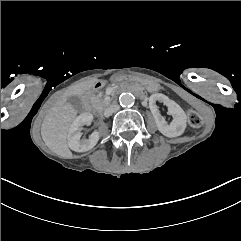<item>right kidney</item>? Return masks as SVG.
I'll return each mask as SVG.
<instances>
[{
  "label": "right kidney",
  "instance_id": "ca27d5eb",
  "mask_svg": "<svg viewBox=\"0 0 241 241\" xmlns=\"http://www.w3.org/2000/svg\"><path fill=\"white\" fill-rule=\"evenodd\" d=\"M92 120L93 115L91 113H82L73 121L68 134V145L71 150L82 153L96 146L99 141L98 131H94L88 140H81L84 126L91 125Z\"/></svg>",
  "mask_w": 241,
  "mask_h": 241
}]
</instances>
